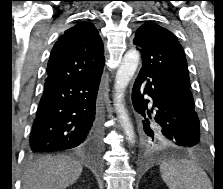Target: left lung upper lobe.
Wrapping results in <instances>:
<instances>
[{"label":"left lung upper lobe","instance_id":"1","mask_svg":"<svg viewBox=\"0 0 223 189\" xmlns=\"http://www.w3.org/2000/svg\"><path fill=\"white\" fill-rule=\"evenodd\" d=\"M133 43L140 47L142 67L156 75L177 101L194 109L187 61L176 36L158 24L147 22L136 31ZM154 130V136L141 132L144 146L147 148L170 146L169 141L155 128Z\"/></svg>","mask_w":223,"mask_h":189}]
</instances>
